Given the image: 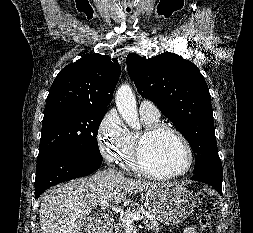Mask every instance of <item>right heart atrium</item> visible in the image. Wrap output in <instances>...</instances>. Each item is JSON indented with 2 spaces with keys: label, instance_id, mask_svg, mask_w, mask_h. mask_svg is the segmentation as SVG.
I'll return each mask as SVG.
<instances>
[{
  "label": "right heart atrium",
  "instance_id": "obj_1",
  "mask_svg": "<svg viewBox=\"0 0 253 233\" xmlns=\"http://www.w3.org/2000/svg\"><path fill=\"white\" fill-rule=\"evenodd\" d=\"M128 129L116 110L108 111L99 123L96 139L101 155L110 162L119 160L126 145Z\"/></svg>",
  "mask_w": 253,
  "mask_h": 233
}]
</instances>
